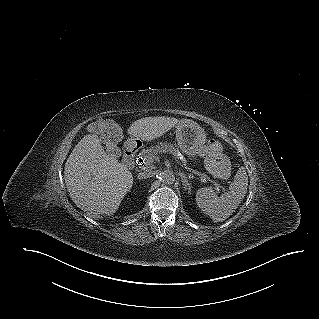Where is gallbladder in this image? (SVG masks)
Segmentation results:
<instances>
[{
    "instance_id": "obj_1",
    "label": "gallbladder",
    "mask_w": 319,
    "mask_h": 319,
    "mask_svg": "<svg viewBox=\"0 0 319 319\" xmlns=\"http://www.w3.org/2000/svg\"><path fill=\"white\" fill-rule=\"evenodd\" d=\"M117 147L116 146H112V145H109L108 146V151H109V153H110V155H115L116 154V152H117Z\"/></svg>"
}]
</instances>
